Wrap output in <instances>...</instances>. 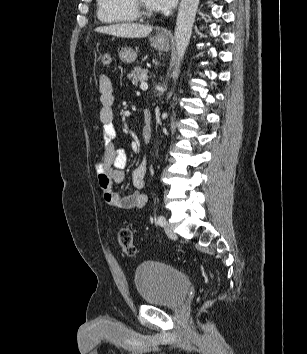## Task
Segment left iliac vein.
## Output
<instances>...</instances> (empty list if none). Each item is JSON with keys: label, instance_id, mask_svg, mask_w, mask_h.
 Returning <instances> with one entry per match:
<instances>
[{"label": "left iliac vein", "instance_id": "4c4485c4", "mask_svg": "<svg viewBox=\"0 0 307 354\" xmlns=\"http://www.w3.org/2000/svg\"><path fill=\"white\" fill-rule=\"evenodd\" d=\"M164 230L166 235L171 239H176L177 235L174 233L172 226L169 223H165Z\"/></svg>", "mask_w": 307, "mask_h": 354}]
</instances>
